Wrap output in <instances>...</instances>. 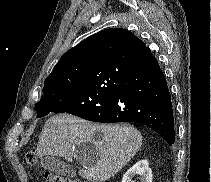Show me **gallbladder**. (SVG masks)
<instances>
[{
    "label": "gallbladder",
    "mask_w": 211,
    "mask_h": 182,
    "mask_svg": "<svg viewBox=\"0 0 211 182\" xmlns=\"http://www.w3.org/2000/svg\"><path fill=\"white\" fill-rule=\"evenodd\" d=\"M87 147H90V153L94 156L97 157V152L95 148L91 144H80L76 146L75 152L77 154V157L80 160H84L85 156L82 155V152L85 151ZM41 165L45 169L61 176H68V177H74L76 175L74 169L72 168L71 165L68 163L62 161L60 158L55 157V156H44L41 159Z\"/></svg>",
    "instance_id": "1"
}]
</instances>
